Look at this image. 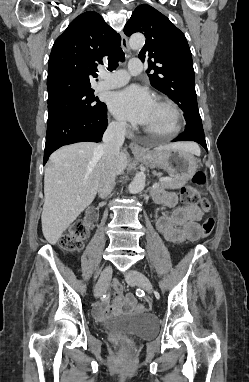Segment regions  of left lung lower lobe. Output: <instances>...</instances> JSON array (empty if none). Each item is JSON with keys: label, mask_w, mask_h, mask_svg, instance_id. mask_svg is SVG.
<instances>
[{"label": "left lung lower lobe", "mask_w": 249, "mask_h": 382, "mask_svg": "<svg viewBox=\"0 0 249 382\" xmlns=\"http://www.w3.org/2000/svg\"><path fill=\"white\" fill-rule=\"evenodd\" d=\"M173 141H195L201 144L207 151V145L202 125H186L184 133L180 134Z\"/></svg>", "instance_id": "0a47b994"}]
</instances>
